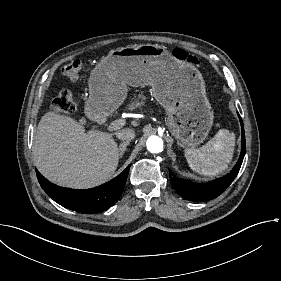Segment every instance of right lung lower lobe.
<instances>
[{
	"mask_svg": "<svg viewBox=\"0 0 281 281\" xmlns=\"http://www.w3.org/2000/svg\"><path fill=\"white\" fill-rule=\"evenodd\" d=\"M129 169L130 165L110 182L89 190L60 188L50 183L38 171L36 174L41 187L58 204L80 213H98L107 210L118 201Z\"/></svg>",
	"mask_w": 281,
	"mask_h": 281,
	"instance_id": "right-lung-lower-lobe-1",
	"label": "right lung lower lobe"
}]
</instances>
